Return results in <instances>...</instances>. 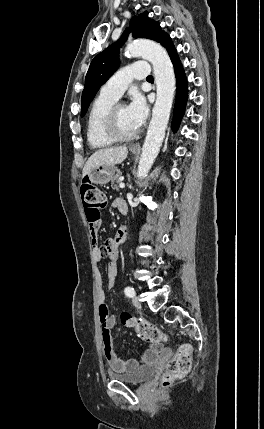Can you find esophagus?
<instances>
[{
  "instance_id": "esophagus-1",
  "label": "esophagus",
  "mask_w": 264,
  "mask_h": 429,
  "mask_svg": "<svg viewBox=\"0 0 264 429\" xmlns=\"http://www.w3.org/2000/svg\"><path fill=\"white\" fill-rule=\"evenodd\" d=\"M131 149H140V144L136 143L131 146Z\"/></svg>"
}]
</instances>
